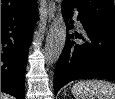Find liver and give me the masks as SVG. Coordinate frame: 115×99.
Here are the masks:
<instances>
[{
  "label": "liver",
  "instance_id": "obj_1",
  "mask_svg": "<svg viewBox=\"0 0 115 99\" xmlns=\"http://www.w3.org/2000/svg\"><path fill=\"white\" fill-rule=\"evenodd\" d=\"M1 99H9V95L1 93Z\"/></svg>",
  "mask_w": 115,
  "mask_h": 99
}]
</instances>
